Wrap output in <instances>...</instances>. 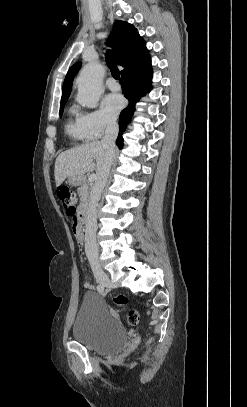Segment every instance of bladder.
Masks as SVG:
<instances>
[{
    "label": "bladder",
    "mask_w": 247,
    "mask_h": 407,
    "mask_svg": "<svg viewBox=\"0 0 247 407\" xmlns=\"http://www.w3.org/2000/svg\"><path fill=\"white\" fill-rule=\"evenodd\" d=\"M72 335L75 341L104 354L117 353L127 343L126 328L95 293L84 295Z\"/></svg>",
    "instance_id": "bladder-1"
}]
</instances>
